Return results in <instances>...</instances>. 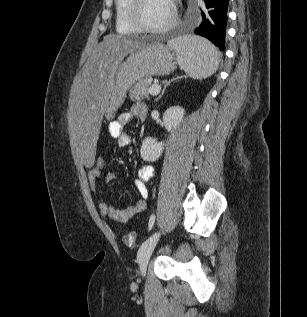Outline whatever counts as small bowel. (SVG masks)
<instances>
[{
	"mask_svg": "<svg viewBox=\"0 0 307 317\" xmlns=\"http://www.w3.org/2000/svg\"><path fill=\"white\" fill-rule=\"evenodd\" d=\"M147 116V109L143 104L136 103L132 106L130 112H125L119 115L117 120L111 122L108 127V131L111 137L118 141L120 147H126L130 144V136L124 131V127L128 125L133 118H138L144 120ZM154 169L152 166L145 165L142 166L138 172V176L134 181L135 187L140 195V199L130 205L126 209L120 210L114 206L105 202L99 196L98 182L101 178V171L96 169H91L88 174V180L90 187L94 195L98 198V208L103 216L109 217L116 222H126L136 214L142 212L146 208V198H147V186L146 184L153 178ZM116 178L114 172H107L104 175V180L106 182H111Z\"/></svg>",
	"mask_w": 307,
	"mask_h": 317,
	"instance_id": "c3829d8e",
	"label": "small bowel"
}]
</instances>
